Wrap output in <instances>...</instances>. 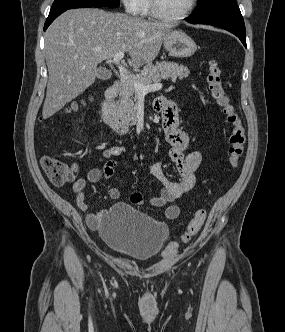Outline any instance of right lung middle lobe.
Masks as SVG:
<instances>
[{
	"instance_id": "obj_1",
	"label": "right lung middle lobe",
	"mask_w": 285,
	"mask_h": 332,
	"mask_svg": "<svg viewBox=\"0 0 285 332\" xmlns=\"http://www.w3.org/2000/svg\"><path fill=\"white\" fill-rule=\"evenodd\" d=\"M119 0H55L50 11L79 7H118Z\"/></svg>"
}]
</instances>
